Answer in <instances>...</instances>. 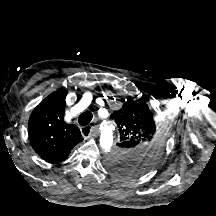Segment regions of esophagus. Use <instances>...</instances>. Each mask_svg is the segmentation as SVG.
I'll use <instances>...</instances> for the list:
<instances>
[{
  "label": "esophagus",
  "mask_w": 216,
  "mask_h": 216,
  "mask_svg": "<svg viewBox=\"0 0 216 216\" xmlns=\"http://www.w3.org/2000/svg\"><path fill=\"white\" fill-rule=\"evenodd\" d=\"M94 127L93 126H84L81 128V134L85 138H90L93 136Z\"/></svg>",
  "instance_id": "obj_1"
}]
</instances>
